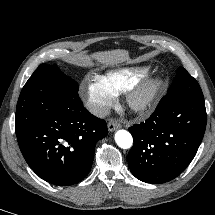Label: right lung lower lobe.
Returning a JSON list of instances; mask_svg holds the SVG:
<instances>
[{
  "label": "right lung lower lobe",
  "mask_w": 215,
  "mask_h": 215,
  "mask_svg": "<svg viewBox=\"0 0 215 215\" xmlns=\"http://www.w3.org/2000/svg\"><path fill=\"white\" fill-rule=\"evenodd\" d=\"M107 132L106 122L89 113L75 91L56 100L17 140L23 157L39 177L68 186L87 176L95 145Z\"/></svg>",
  "instance_id": "1"
}]
</instances>
